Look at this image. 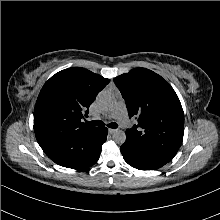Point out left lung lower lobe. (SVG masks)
Listing matches in <instances>:
<instances>
[{
	"mask_svg": "<svg viewBox=\"0 0 220 220\" xmlns=\"http://www.w3.org/2000/svg\"><path fill=\"white\" fill-rule=\"evenodd\" d=\"M120 150L124 160L130 166L139 170H156L172 159V157L137 143L128 137H126V141L122 144Z\"/></svg>",
	"mask_w": 220,
	"mask_h": 220,
	"instance_id": "0a47b994",
	"label": "left lung lower lobe"
}]
</instances>
